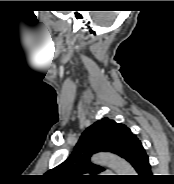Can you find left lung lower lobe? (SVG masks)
I'll return each instance as SVG.
<instances>
[{
	"mask_svg": "<svg viewBox=\"0 0 174 184\" xmlns=\"http://www.w3.org/2000/svg\"><path fill=\"white\" fill-rule=\"evenodd\" d=\"M127 161L130 162L138 174L134 178L135 180H139L137 183H145L144 181L151 178V166L140 141L132 148L127 157Z\"/></svg>",
	"mask_w": 174,
	"mask_h": 184,
	"instance_id": "1",
	"label": "left lung lower lobe"
}]
</instances>
